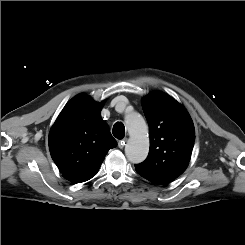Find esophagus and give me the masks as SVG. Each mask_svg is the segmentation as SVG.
Masks as SVG:
<instances>
[{"label": "esophagus", "instance_id": "34e87169", "mask_svg": "<svg viewBox=\"0 0 245 245\" xmlns=\"http://www.w3.org/2000/svg\"><path fill=\"white\" fill-rule=\"evenodd\" d=\"M126 142H127V139H126V138L120 140V141L118 142V147L121 148V149H123L124 146L126 145Z\"/></svg>", "mask_w": 245, "mask_h": 245}]
</instances>
